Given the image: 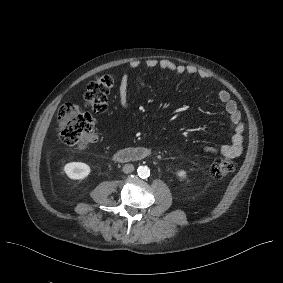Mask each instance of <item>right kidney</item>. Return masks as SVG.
<instances>
[{"label":"right kidney","instance_id":"1","mask_svg":"<svg viewBox=\"0 0 283 283\" xmlns=\"http://www.w3.org/2000/svg\"><path fill=\"white\" fill-rule=\"evenodd\" d=\"M90 167L83 162H70L64 166V172L70 179L82 180L90 173Z\"/></svg>","mask_w":283,"mask_h":283}]
</instances>
